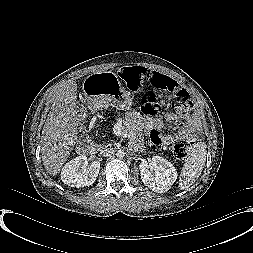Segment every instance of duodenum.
I'll list each match as a JSON object with an SVG mask.
<instances>
[{"label":"duodenum","mask_w":253,"mask_h":253,"mask_svg":"<svg viewBox=\"0 0 253 253\" xmlns=\"http://www.w3.org/2000/svg\"><path fill=\"white\" fill-rule=\"evenodd\" d=\"M78 150L81 154L92 155L97 151L96 146L87 138H83L78 143Z\"/></svg>","instance_id":"410a0bca"}]
</instances>
